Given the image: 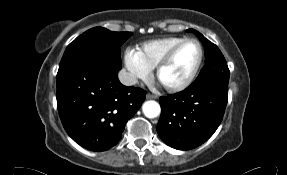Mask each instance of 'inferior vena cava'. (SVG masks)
I'll return each mask as SVG.
<instances>
[{"label":"inferior vena cava","instance_id":"inferior-vena-cava-1","mask_svg":"<svg viewBox=\"0 0 287 175\" xmlns=\"http://www.w3.org/2000/svg\"><path fill=\"white\" fill-rule=\"evenodd\" d=\"M118 77L120 82L125 86H132L137 82L136 77L124 69L119 72Z\"/></svg>","mask_w":287,"mask_h":175}]
</instances>
